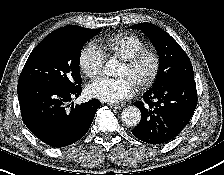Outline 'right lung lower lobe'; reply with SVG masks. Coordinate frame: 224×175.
<instances>
[{
    "instance_id": "1",
    "label": "right lung lower lobe",
    "mask_w": 224,
    "mask_h": 175,
    "mask_svg": "<svg viewBox=\"0 0 224 175\" xmlns=\"http://www.w3.org/2000/svg\"><path fill=\"white\" fill-rule=\"evenodd\" d=\"M81 91L80 86L67 89L42 82L19 83L23 122L47 145L58 148L75 143L87 133L100 106L97 99L81 105L69 104Z\"/></svg>"
}]
</instances>
